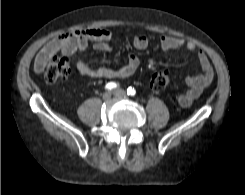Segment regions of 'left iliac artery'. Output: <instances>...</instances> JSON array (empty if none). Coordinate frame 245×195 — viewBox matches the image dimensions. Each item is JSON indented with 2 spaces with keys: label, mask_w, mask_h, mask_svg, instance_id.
<instances>
[{
  "label": "left iliac artery",
  "mask_w": 245,
  "mask_h": 195,
  "mask_svg": "<svg viewBox=\"0 0 245 195\" xmlns=\"http://www.w3.org/2000/svg\"><path fill=\"white\" fill-rule=\"evenodd\" d=\"M127 94L130 95V96H134L136 94V90L132 87H129L127 89Z\"/></svg>",
  "instance_id": "left-iliac-artery-1"
}]
</instances>
